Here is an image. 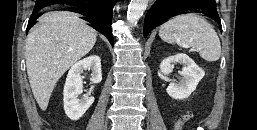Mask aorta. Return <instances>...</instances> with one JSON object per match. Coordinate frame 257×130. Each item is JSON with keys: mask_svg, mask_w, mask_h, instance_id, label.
I'll return each mask as SVG.
<instances>
[{"mask_svg": "<svg viewBox=\"0 0 257 130\" xmlns=\"http://www.w3.org/2000/svg\"><path fill=\"white\" fill-rule=\"evenodd\" d=\"M147 5L148 0H131L127 11V21L129 24L137 23L146 10Z\"/></svg>", "mask_w": 257, "mask_h": 130, "instance_id": "aorta-1", "label": "aorta"}]
</instances>
